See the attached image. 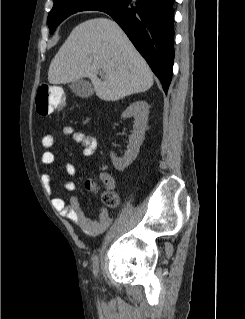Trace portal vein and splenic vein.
Listing matches in <instances>:
<instances>
[{
  "mask_svg": "<svg viewBox=\"0 0 245 319\" xmlns=\"http://www.w3.org/2000/svg\"><path fill=\"white\" fill-rule=\"evenodd\" d=\"M103 74H104L103 70H99V75H103Z\"/></svg>",
  "mask_w": 245,
  "mask_h": 319,
  "instance_id": "1",
  "label": "portal vein and splenic vein"
}]
</instances>
